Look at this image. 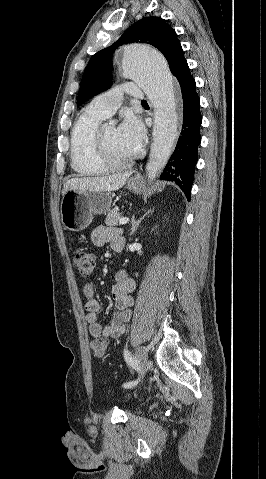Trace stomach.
Here are the masks:
<instances>
[{
    "label": "stomach",
    "instance_id": "obj_1",
    "mask_svg": "<svg viewBox=\"0 0 266 479\" xmlns=\"http://www.w3.org/2000/svg\"><path fill=\"white\" fill-rule=\"evenodd\" d=\"M127 187L139 192L141 184L139 180L131 179ZM111 204L112 198L108 192L67 191L60 207L62 223L71 231L84 230L91 224L93 215L108 213Z\"/></svg>",
    "mask_w": 266,
    "mask_h": 479
}]
</instances>
